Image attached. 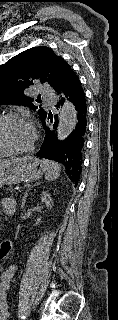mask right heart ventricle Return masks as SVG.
Masks as SVG:
<instances>
[{
	"instance_id": "obj_1",
	"label": "right heart ventricle",
	"mask_w": 118,
	"mask_h": 320,
	"mask_svg": "<svg viewBox=\"0 0 118 320\" xmlns=\"http://www.w3.org/2000/svg\"><path fill=\"white\" fill-rule=\"evenodd\" d=\"M4 155V153H2L1 151H0V157H2Z\"/></svg>"
}]
</instances>
